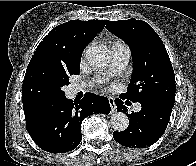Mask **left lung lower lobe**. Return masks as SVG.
I'll return each mask as SVG.
<instances>
[{"mask_svg":"<svg viewBox=\"0 0 196 166\" xmlns=\"http://www.w3.org/2000/svg\"><path fill=\"white\" fill-rule=\"evenodd\" d=\"M121 99H123L120 96ZM118 99L117 111L127 114V107ZM130 103L128 100L126 104ZM142 108L139 112L127 114L129 126L126 130L113 133L119 144L130 148H142L156 142L165 132L168 125L172 106L165 103L145 100L140 102Z\"/></svg>","mask_w":196,"mask_h":166,"instance_id":"obj_1","label":"left lung lower lobe"}]
</instances>
